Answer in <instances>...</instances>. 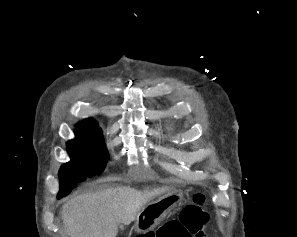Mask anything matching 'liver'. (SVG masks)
Listing matches in <instances>:
<instances>
[{
    "label": "liver",
    "mask_w": 297,
    "mask_h": 237,
    "mask_svg": "<svg viewBox=\"0 0 297 237\" xmlns=\"http://www.w3.org/2000/svg\"><path fill=\"white\" fill-rule=\"evenodd\" d=\"M167 190L120 186L83 193L62 207V220L70 237H116L120 223L129 225L149 200Z\"/></svg>",
    "instance_id": "obj_1"
}]
</instances>
